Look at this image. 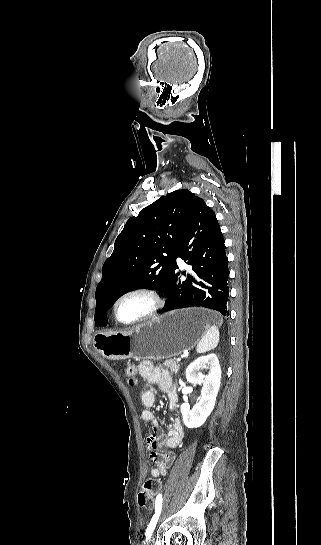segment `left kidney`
Listing matches in <instances>:
<instances>
[{
  "label": "left kidney",
  "mask_w": 321,
  "mask_h": 545,
  "mask_svg": "<svg viewBox=\"0 0 321 545\" xmlns=\"http://www.w3.org/2000/svg\"><path fill=\"white\" fill-rule=\"evenodd\" d=\"M201 369H209L208 375H201L199 373ZM186 379L188 383L203 385L201 391L202 399L194 405L192 411H190L188 403H183L180 407L184 425L188 429H197L211 415L220 389L221 367L216 355L211 353V355L199 357V359L190 363L186 369Z\"/></svg>",
  "instance_id": "1"
}]
</instances>
